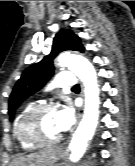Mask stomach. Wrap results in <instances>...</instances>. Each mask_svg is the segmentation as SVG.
I'll list each match as a JSON object with an SVG mask.
<instances>
[{
    "mask_svg": "<svg viewBox=\"0 0 135 166\" xmlns=\"http://www.w3.org/2000/svg\"><path fill=\"white\" fill-rule=\"evenodd\" d=\"M47 157L33 160L31 166H56L55 163L61 158L62 151L57 148L48 149Z\"/></svg>",
    "mask_w": 135,
    "mask_h": 166,
    "instance_id": "1",
    "label": "stomach"
}]
</instances>
